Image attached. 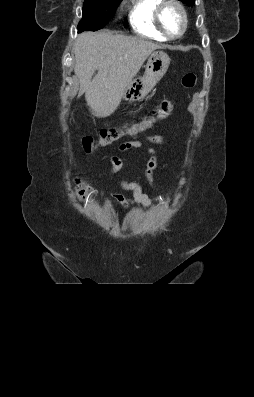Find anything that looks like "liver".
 Segmentation results:
<instances>
[{"label": "liver", "mask_w": 254, "mask_h": 397, "mask_svg": "<svg viewBox=\"0 0 254 397\" xmlns=\"http://www.w3.org/2000/svg\"><path fill=\"white\" fill-rule=\"evenodd\" d=\"M159 48L160 45L141 37L108 32H84L78 36L74 45V72L80 83L78 96L85 93L93 116L104 118L116 111L125 87L147 57Z\"/></svg>", "instance_id": "obj_1"}]
</instances>
